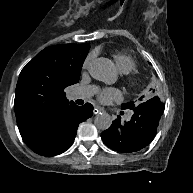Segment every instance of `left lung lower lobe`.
<instances>
[{
    "label": "left lung lower lobe",
    "instance_id": "left-lung-lower-lobe-1",
    "mask_svg": "<svg viewBox=\"0 0 193 193\" xmlns=\"http://www.w3.org/2000/svg\"><path fill=\"white\" fill-rule=\"evenodd\" d=\"M155 98L134 108L129 122L121 124L117 119L101 134L103 142L111 149L123 153L136 152L147 146L155 137L163 104Z\"/></svg>",
    "mask_w": 193,
    "mask_h": 193
}]
</instances>
